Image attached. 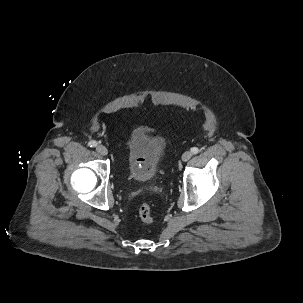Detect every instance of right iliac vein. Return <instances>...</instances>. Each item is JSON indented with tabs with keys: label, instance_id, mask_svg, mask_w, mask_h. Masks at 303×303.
<instances>
[{
	"label": "right iliac vein",
	"instance_id": "63e3f726",
	"mask_svg": "<svg viewBox=\"0 0 303 303\" xmlns=\"http://www.w3.org/2000/svg\"><path fill=\"white\" fill-rule=\"evenodd\" d=\"M96 150H97V152H98L99 154H101V155H103V156H105V155L108 154L107 148H106L105 146H103V145H98V146L96 147Z\"/></svg>",
	"mask_w": 303,
	"mask_h": 303
}]
</instances>
